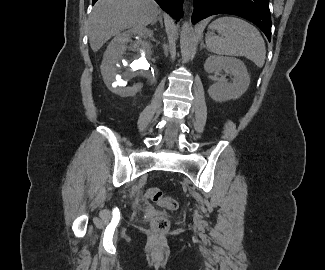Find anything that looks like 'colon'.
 <instances>
[{"label":"colon","mask_w":325,"mask_h":270,"mask_svg":"<svg viewBox=\"0 0 325 270\" xmlns=\"http://www.w3.org/2000/svg\"><path fill=\"white\" fill-rule=\"evenodd\" d=\"M145 196L167 210L174 211L178 208V202L172 197L165 196L159 188H148ZM151 227L156 232H165L169 228V221L163 216H157L152 219Z\"/></svg>","instance_id":"colon-1"}]
</instances>
